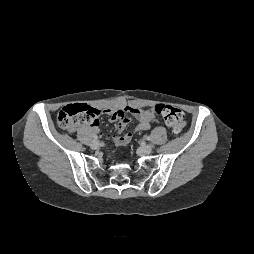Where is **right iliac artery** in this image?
Instances as JSON below:
<instances>
[{
	"mask_svg": "<svg viewBox=\"0 0 254 254\" xmlns=\"http://www.w3.org/2000/svg\"><path fill=\"white\" fill-rule=\"evenodd\" d=\"M94 139L97 140V136L96 135L94 136Z\"/></svg>",
	"mask_w": 254,
	"mask_h": 254,
	"instance_id": "1",
	"label": "right iliac artery"
}]
</instances>
